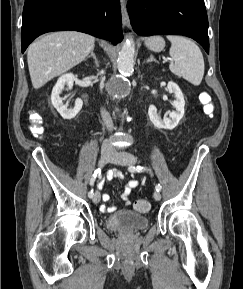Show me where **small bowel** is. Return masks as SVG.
Instances as JSON below:
<instances>
[{
  "instance_id": "c3829d8e",
  "label": "small bowel",
  "mask_w": 243,
  "mask_h": 289,
  "mask_svg": "<svg viewBox=\"0 0 243 289\" xmlns=\"http://www.w3.org/2000/svg\"><path fill=\"white\" fill-rule=\"evenodd\" d=\"M123 178H124V176L119 170H112L107 175L108 181H111L113 179H123ZM139 184H140V182L138 180H130L127 182L125 189H124V192L122 193V196H121L125 206L130 205V199H129L130 193L133 189L138 187ZM109 199H110V196L108 194L105 193L102 195V201L103 202H106ZM100 210L102 212L112 213V212L116 211V207L106 206L103 204V205H101Z\"/></svg>"
}]
</instances>
